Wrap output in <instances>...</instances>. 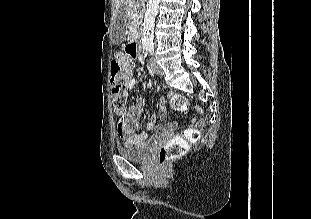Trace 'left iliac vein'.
I'll list each match as a JSON object with an SVG mask.
<instances>
[{
	"mask_svg": "<svg viewBox=\"0 0 311 219\" xmlns=\"http://www.w3.org/2000/svg\"><path fill=\"white\" fill-rule=\"evenodd\" d=\"M150 65L154 73H156L159 76L164 75L163 69L161 68V66L157 63V61L154 58L151 59Z\"/></svg>",
	"mask_w": 311,
	"mask_h": 219,
	"instance_id": "left-iliac-vein-1",
	"label": "left iliac vein"
}]
</instances>
